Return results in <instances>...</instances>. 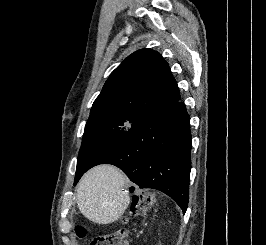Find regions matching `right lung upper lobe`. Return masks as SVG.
<instances>
[{
    "label": "right lung upper lobe",
    "instance_id": "obj_1",
    "mask_svg": "<svg viewBox=\"0 0 266 245\" xmlns=\"http://www.w3.org/2000/svg\"><path fill=\"white\" fill-rule=\"evenodd\" d=\"M180 100L168 63L156 51L142 49L128 56L109 76L90 116L121 113L144 118Z\"/></svg>",
    "mask_w": 266,
    "mask_h": 245
}]
</instances>
